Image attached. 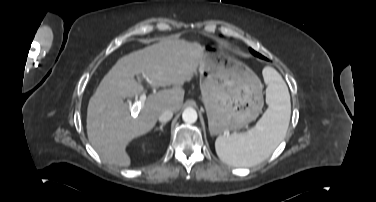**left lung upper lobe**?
I'll return each mask as SVG.
<instances>
[{
    "mask_svg": "<svg viewBox=\"0 0 376 202\" xmlns=\"http://www.w3.org/2000/svg\"><path fill=\"white\" fill-rule=\"evenodd\" d=\"M250 52H251L253 55H255V56L259 57V58H265V57H263L261 54L257 53L256 51H254V50L251 49V48H250Z\"/></svg>",
    "mask_w": 376,
    "mask_h": 202,
    "instance_id": "left-lung-upper-lobe-1",
    "label": "left lung upper lobe"
}]
</instances>
